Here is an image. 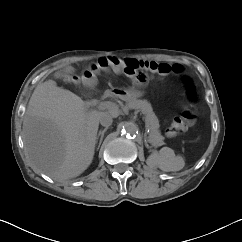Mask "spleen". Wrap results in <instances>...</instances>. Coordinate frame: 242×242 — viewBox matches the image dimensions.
<instances>
[{"label":"spleen","mask_w":242,"mask_h":242,"mask_svg":"<svg viewBox=\"0 0 242 242\" xmlns=\"http://www.w3.org/2000/svg\"><path fill=\"white\" fill-rule=\"evenodd\" d=\"M180 159L176 157L174 151L168 147L162 148L159 152L152 154L148 162L156 164L163 171H175L178 168L175 165V162Z\"/></svg>","instance_id":"spleen-1"}]
</instances>
